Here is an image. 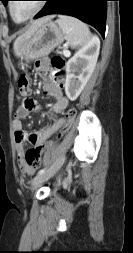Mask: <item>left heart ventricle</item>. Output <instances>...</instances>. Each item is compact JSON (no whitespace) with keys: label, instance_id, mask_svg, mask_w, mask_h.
<instances>
[{"label":"left heart ventricle","instance_id":"obj_1","mask_svg":"<svg viewBox=\"0 0 133 253\" xmlns=\"http://www.w3.org/2000/svg\"><path fill=\"white\" fill-rule=\"evenodd\" d=\"M38 1H13L12 11L16 20L26 18L36 8Z\"/></svg>","mask_w":133,"mask_h":253}]
</instances>
